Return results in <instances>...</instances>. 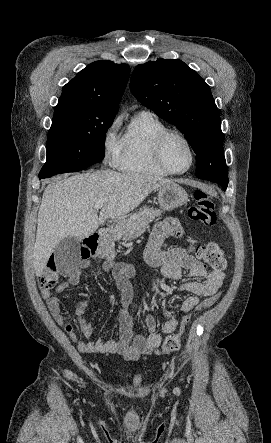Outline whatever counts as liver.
I'll return each mask as SVG.
<instances>
[{
    "label": "liver",
    "mask_w": 271,
    "mask_h": 443,
    "mask_svg": "<svg viewBox=\"0 0 271 443\" xmlns=\"http://www.w3.org/2000/svg\"><path fill=\"white\" fill-rule=\"evenodd\" d=\"M173 184L164 178L119 174L112 170H98L93 174L63 176L44 190L38 212L37 233L33 247V265L36 275H42L54 247L64 237L78 241L89 237L107 218L122 220L133 212L145 198L165 186ZM107 200L99 216L96 202Z\"/></svg>",
    "instance_id": "obj_1"
}]
</instances>
